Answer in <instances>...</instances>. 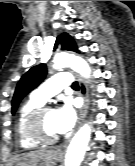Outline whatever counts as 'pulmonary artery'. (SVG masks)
<instances>
[{"label":"pulmonary artery","instance_id":"e3ab8cb5","mask_svg":"<svg viewBox=\"0 0 135 166\" xmlns=\"http://www.w3.org/2000/svg\"><path fill=\"white\" fill-rule=\"evenodd\" d=\"M72 85V78L69 72L59 71L44 81L32 93V96L41 102H46L49 98L59 93L65 87Z\"/></svg>","mask_w":135,"mask_h":166}]
</instances>
